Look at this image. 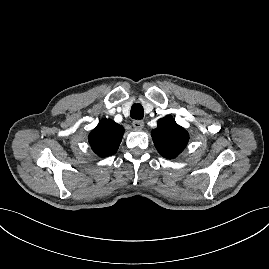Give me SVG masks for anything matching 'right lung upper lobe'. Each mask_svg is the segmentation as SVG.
Returning a JSON list of instances; mask_svg holds the SVG:
<instances>
[{
	"label": "right lung upper lobe",
	"instance_id": "1",
	"mask_svg": "<svg viewBox=\"0 0 269 269\" xmlns=\"http://www.w3.org/2000/svg\"><path fill=\"white\" fill-rule=\"evenodd\" d=\"M124 133V128L111 119H102L89 135L93 151L100 157L116 153Z\"/></svg>",
	"mask_w": 269,
	"mask_h": 269
}]
</instances>
